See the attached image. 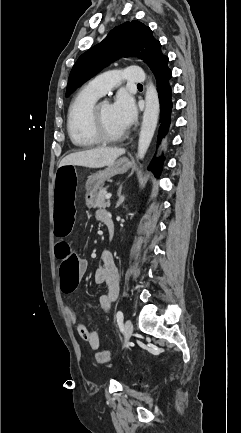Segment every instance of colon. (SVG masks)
<instances>
[{
    "label": "colon",
    "mask_w": 241,
    "mask_h": 433,
    "mask_svg": "<svg viewBox=\"0 0 241 433\" xmlns=\"http://www.w3.org/2000/svg\"><path fill=\"white\" fill-rule=\"evenodd\" d=\"M55 180L52 183L54 190L52 219L56 234L64 237L71 233L73 216L76 215L75 193L77 170L74 164H60L56 168ZM57 256L60 259L59 277H64L61 288L63 292H72L78 281L80 262L77 255L71 251L68 243L61 240L57 245ZM112 355L108 351H100L96 354V360L101 364L110 362Z\"/></svg>",
    "instance_id": "colon-1"
}]
</instances>
